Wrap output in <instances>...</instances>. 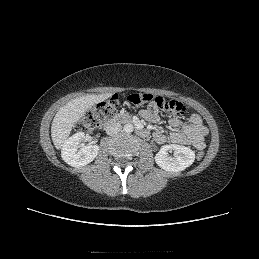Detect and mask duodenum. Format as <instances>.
Instances as JSON below:
<instances>
[{"label":"duodenum","mask_w":259,"mask_h":259,"mask_svg":"<svg viewBox=\"0 0 259 259\" xmlns=\"http://www.w3.org/2000/svg\"><path fill=\"white\" fill-rule=\"evenodd\" d=\"M126 121V122H133L136 125L137 128V133L142 136V137H146L148 135V131L135 119L130 118L129 116H115L110 118L108 121H106L105 123V127H110L112 126L114 123L118 122V121Z\"/></svg>","instance_id":"obj_1"}]
</instances>
